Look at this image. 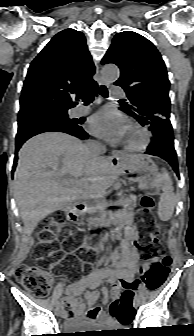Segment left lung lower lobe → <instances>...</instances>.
Segmentation results:
<instances>
[{
    "label": "left lung lower lobe",
    "mask_w": 194,
    "mask_h": 336,
    "mask_svg": "<svg viewBox=\"0 0 194 336\" xmlns=\"http://www.w3.org/2000/svg\"><path fill=\"white\" fill-rule=\"evenodd\" d=\"M154 138L149 144L146 153L166 160L179 175L177 155L174 149L173 129L169 119H162L150 126Z\"/></svg>",
    "instance_id": "1"
}]
</instances>
